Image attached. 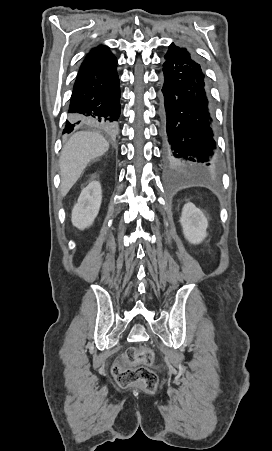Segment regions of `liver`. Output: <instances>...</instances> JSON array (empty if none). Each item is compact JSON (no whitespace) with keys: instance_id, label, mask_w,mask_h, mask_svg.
Instances as JSON below:
<instances>
[{"instance_id":"liver-1","label":"liver","mask_w":272,"mask_h":451,"mask_svg":"<svg viewBox=\"0 0 272 451\" xmlns=\"http://www.w3.org/2000/svg\"><path fill=\"white\" fill-rule=\"evenodd\" d=\"M109 142L98 132H76L65 144L59 160L61 194L66 196L90 160L103 156Z\"/></svg>"}]
</instances>
